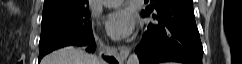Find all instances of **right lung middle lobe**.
<instances>
[{"label": "right lung middle lobe", "instance_id": "right-lung-middle-lobe-1", "mask_svg": "<svg viewBox=\"0 0 242 64\" xmlns=\"http://www.w3.org/2000/svg\"><path fill=\"white\" fill-rule=\"evenodd\" d=\"M89 19L87 8L42 14L39 58L61 47L90 41L93 34Z\"/></svg>", "mask_w": 242, "mask_h": 64}]
</instances>
